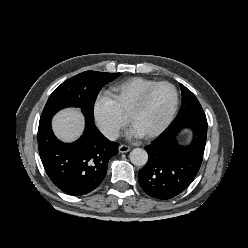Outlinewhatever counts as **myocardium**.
Masks as SVG:
<instances>
[{
  "label": "myocardium",
  "mask_w": 248,
  "mask_h": 248,
  "mask_svg": "<svg viewBox=\"0 0 248 248\" xmlns=\"http://www.w3.org/2000/svg\"><path fill=\"white\" fill-rule=\"evenodd\" d=\"M168 86L172 89L174 94V101L171 108V111L166 118V120L154 131L150 132L149 134L143 135L145 139H153L161 135L172 123L174 120L177 110H178V104H179V94L177 88L170 82L167 81H158L146 88L141 95L138 97V99L135 101V103L130 107L128 113H127V119L130 125H132V120L135 114H137L144 105L146 104V101L151 94V92L158 86Z\"/></svg>",
  "instance_id": "1"
}]
</instances>
